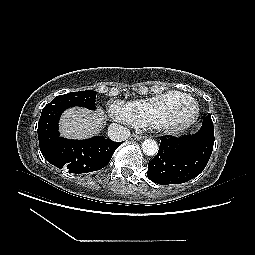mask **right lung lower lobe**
I'll return each instance as SVG.
<instances>
[{"label": "right lung lower lobe", "mask_w": 255, "mask_h": 255, "mask_svg": "<svg viewBox=\"0 0 255 255\" xmlns=\"http://www.w3.org/2000/svg\"><path fill=\"white\" fill-rule=\"evenodd\" d=\"M38 138L40 150L48 162L75 174L104 168L121 145L120 142H114L102 136L86 140H68L60 137L58 127L50 134L38 129ZM45 140H50L47 146L43 145Z\"/></svg>", "instance_id": "1"}]
</instances>
